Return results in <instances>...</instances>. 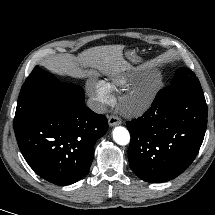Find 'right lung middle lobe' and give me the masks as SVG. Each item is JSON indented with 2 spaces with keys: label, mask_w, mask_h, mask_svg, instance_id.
Segmentation results:
<instances>
[{
  "label": "right lung middle lobe",
  "mask_w": 215,
  "mask_h": 215,
  "mask_svg": "<svg viewBox=\"0 0 215 215\" xmlns=\"http://www.w3.org/2000/svg\"><path fill=\"white\" fill-rule=\"evenodd\" d=\"M60 83L50 73L36 66L23 84L14 117V130L19 129L36 111L41 100Z\"/></svg>",
  "instance_id": "1"
}]
</instances>
